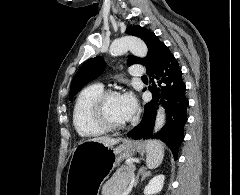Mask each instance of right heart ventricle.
Returning a JSON list of instances; mask_svg holds the SVG:
<instances>
[{
    "label": "right heart ventricle",
    "instance_id": "obj_1",
    "mask_svg": "<svg viewBox=\"0 0 240 195\" xmlns=\"http://www.w3.org/2000/svg\"><path fill=\"white\" fill-rule=\"evenodd\" d=\"M104 92L100 84H93L81 91L76 99L73 110V122L78 133L85 138L103 135L106 130L93 119L92 107L96 98Z\"/></svg>",
    "mask_w": 240,
    "mask_h": 195
}]
</instances>
